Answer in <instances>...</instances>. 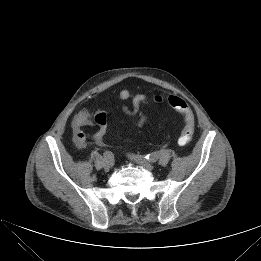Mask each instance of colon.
<instances>
[{"label": "colon", "mask_w": 261, "mask_h": 261, "mask_svg": "<svg viewBox=\"0 0 261 261\" xmlns=\"http://www.w3.org/2000/svg\"><path fill=\"white\" fill-rule=\"evenodd\" d=\"M154 100L157 103L165 102L171 108L175 109L176 111L182 114L184 121L178 139V144L180 146H185L189 144V142L192 140L193 133H194V120H193L191 110L189 109L186 101L181 97L174 96V95H171L165 99L161 96H156Z\"/></svg>", "instance_id": "5ec220e1"}]
</instances>
